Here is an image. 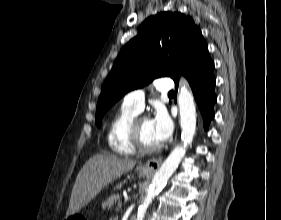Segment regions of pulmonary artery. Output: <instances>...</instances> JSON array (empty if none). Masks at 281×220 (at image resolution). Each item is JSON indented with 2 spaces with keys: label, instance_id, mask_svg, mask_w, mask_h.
Instances as JSON below:
<instances>
[{
  "label": "pulmonary artery",
  "instance_id": "e3ab8cb5",
  "mask_svg": "<svg viewBox=\"0 0 281 220\" xmlns=\"http://www.w3.org/2000/svg\"><path fill=\"white\" fill-rule=\"evenodd\" d=\"M155 87L159 91L168 92L173 88V82L170 78H158L155 81ZM145 101V91L144 89H137L128 93L123 100V103L129 107L135 109L138 112H141L144 108Z\"/></svg>",
  "mask_w": 281,
  "mask_h": 220
}]
</instances>
